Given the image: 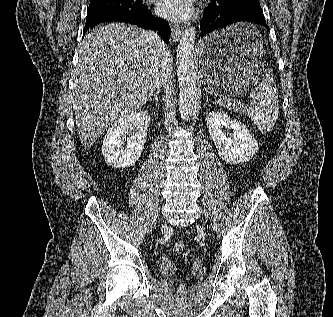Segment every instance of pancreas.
<instances>
[{"label":"pancreas","instance_id":"obj_1","mask_svg":"<svg viewBox=\"0 0 333 317\" xmlns=\"http://www.w3.org/2000/svg\"><path fill=\"white\" fill-rule=\"evenodd\" d=\"M221 105H222V107H224L226 109H230V110H238L239 109V105L238 104H234V103H232L230 101H225Z\"/></svg>","mask_w":333,"mask_h":317}]
</instances>
